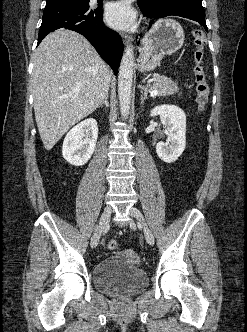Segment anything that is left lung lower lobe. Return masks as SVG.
I'll return each mask as SVG.
<instances>
[{"label": "left lung lower lobe", "instance_id": "0a47b994", "mask_svg": "<svg viewBox=\"0 0 247 332\" xmlns=\"http://www.w3.org/2000/svg\"><path fill=\"white\" fill-rule=\"evenodd\" d=\"M150 19V26L154 20L160 19L167 16H179L189 20H193L198 22L201 26L204 27L206 31V21H205V11L201 6H193V5H184V4H176L170 5L158 10H146L140 8Z\"/></svg>", "mask_w": 247, "mask_h": 332}]
</instances>
